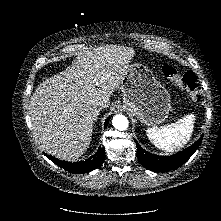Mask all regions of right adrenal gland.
<instances>
[{"label":"right adrenal gland","mask_w":221,"mask_h":221,"mask_svg":"<svg viewBox=\"0 0 221 221\" xmlns=\"http://www.w3.org/2000/svg\"><path fill=\"white\" fill-rule=\"evenodd\" d=\"M102 108H99V112L101 111Z\"/></svg>","instance_id":"2a0ac1e0"}]
</instances>
